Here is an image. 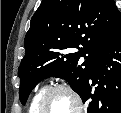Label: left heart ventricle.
<instances>
[{
	"mask_svg": "<svg viewBox=\"0 0 121 113\" xmlns=\"http://www.w3.org/2000/svg\"><path fill=\"white\" fill-rule=\"evenodd\" d=\"M43 109L51 112H68L74 109V101L66 92H57L51 95Z\"/></svg>",
	"mask_w": 121,
	"mask_h": 113,
	"instance_id": "1",
	"label": "left heart ventricle"
}]
</instances>
